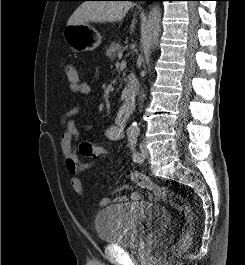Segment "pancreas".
Listing matches in <instances>:
<instances>
[{
    "label": "pancreas",
    "mask_w": 245,
    "mask_h": 265,
    "mask_svg": "<svg viewBox=\"0 0 245 265\" xmlns=\"http://www.w3.org/2000/svg\"><path fill=\"white\" fill-rule=\"evenodd\" d=\"M122 51H123V50H122V47H121V45H120L119 43L112 42V43L110 44V46L106 49V53H105V55H106L108 58L114 60L115 57L118 55V53H119V52H122Z\"/></svg>",
    "instance_id": "pancreas-1"
}]
</instances>
